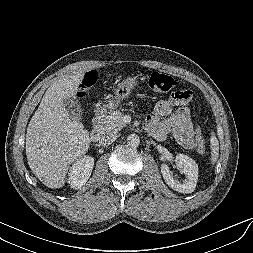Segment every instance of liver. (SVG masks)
Here are the masks:
<instances>
[{"instance_id":"liver-1","label":"liver","mask_w":253,"mask_h":253,"mask_svg":"<svg viewBox=\"0 0 253 253\" xmlns=\"http://www.w3.org/2000/svg\"><path fill=\"white\" fill-rule=\"evenodd\" d=\"M86 68L55 81L45 92L26 133V156L33 174L49 188H60L70 165L90 147V134L67 113L64 101L76 98Z\"/></svg>"}]
</instances>
